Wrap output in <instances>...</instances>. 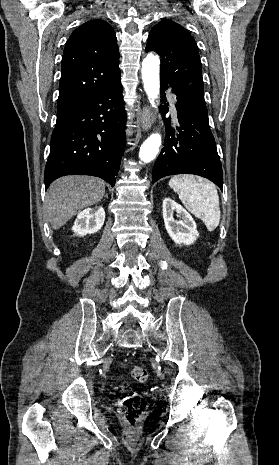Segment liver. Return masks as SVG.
<instances>
[{
	"label": "liver",
	"instance_id": "obj_1",
	"mask_svg": "<svg viewBox=\"0 0 279 465\" xmlns=\"http://www.w3.org/2000/svg\"><path fill=\"white\" fill-rule=\"evenodd\" d=\"M105 195V184L91 176L70 175L55 180L46 194L44 209L57 230L82 209L97 204Z\"/></svg>",
	"mask_w": 279,
	"mask_h": 465
}]
</instances>
